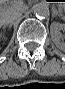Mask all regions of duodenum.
Listing matches in <instances>:
<instances>
[{"mask_svg": "<svg viewBox=\"0 0 65 89\" xmlns=\"http://www.w3.org/2000/svg\"><path fill=\"white\" fill-rule=\"evenodd\" d=\"M45 2H46V3H50V1H49V0H46Z\"/></svg>", "mask_w": 65, "mask_h": 89, "instance_id": "duodenum-1", "label": "duodenum"}]
</instances>
